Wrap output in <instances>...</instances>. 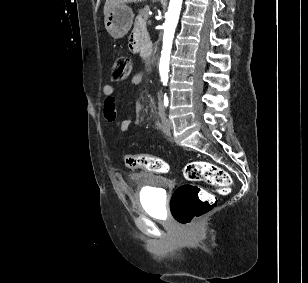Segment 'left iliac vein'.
<instances>
[{
    "label": "left iliac vein",
    "instance_id": "left-iliac-vein-1",
    "mask_svg": "<svg viewBox=\"0 0 308 283\" xmlns=\"http://www.w3.org/2000/svg\"><path fill=\"white\" fill-rule=\"evenodd\" d=\"M172 121L169 119H165L163 121V131L166 135H170L171 129H172Z\"/></svg>",
    "mask_w": 308,
    "mask_h": 283
}]
</instances>
